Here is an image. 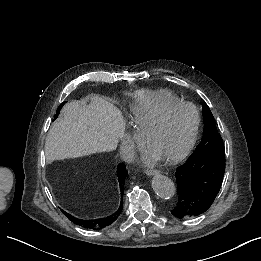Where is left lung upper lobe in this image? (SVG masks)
<instances>
[{
	"mask_svg": "<svg viewBox=\"0 0 261 261\" xmlns=\"http://www.w3.org/2000/svg\"><path fill=\"white\" fill-rule=\"evenodd\" d=\"M204 129L203 137L194 153L201 154L205 152L217 155H225V148L221 135L217 132L214 117L207 105L203 106Z\"/></svg>",
	"mask_w": 261,
	"mask_h": 261,
	"instance_id": "left-lung-upper-lobe-1",
	"label": "left lung upper lobe"
}]
</instances>
